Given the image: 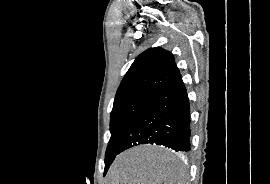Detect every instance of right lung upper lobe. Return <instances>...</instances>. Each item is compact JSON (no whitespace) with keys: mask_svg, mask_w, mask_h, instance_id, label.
I'll list each match as a JSON object with an SVG mask.
<instances>
[{"mask_svg":"<svg viewBox=\"0 0 270 184\" xmlns=\"http://www.w3.org/2000/svg\"><path fill=\"white\" fill-rule=\"evenodd\" d=\"M173 55L160 48H150L140 54L127 71L115 101L136 95L151 96L179 75Z\"/></svg>","mask_w":270,"mask_h":184,"instance_id":"1","label":"right lung upper lobe"}]
</instances>
